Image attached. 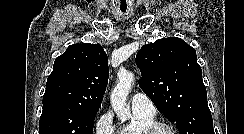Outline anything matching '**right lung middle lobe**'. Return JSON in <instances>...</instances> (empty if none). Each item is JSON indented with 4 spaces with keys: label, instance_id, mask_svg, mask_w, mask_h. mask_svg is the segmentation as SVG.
I'll return each mask as SVG.
<instances>
[{
    "label": "right lung middle lobe",
    "instance_id": "right-lung-middle-lobe-1",
    "mask_svg": "<svg viewBox=\"0 0 244 134\" xmlns=\"http://www.w3.org/2000/svg\"><path fill=\"white\" fill-rule=\"evenodd\" d=\"M96 113L61 102L43 104L39 134H92Z\"/></svg>",
    "mask_w": 244,
    "mask_h": 134
}]
</instances>
